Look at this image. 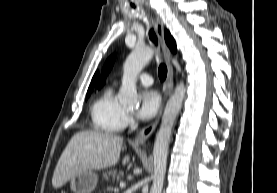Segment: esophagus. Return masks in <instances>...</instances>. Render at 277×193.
Returning a JSON list of instances; mask_svg holds the SVG:
<instances>
[{"mask_svg":"<svg viewBox=\"0 0 277 193\" xmlns=\"http://www.w3.org/2000/svg\"><path fill=\"white\" fill-rule=\"evenodd\" d=\"M155 29H156L157 35L160 39V42L162 45V50H163V55H164V58H165V61H166L167 67H168V78H167L166 85L164 87V95H163L162 105L157 114V117L153 123H151L150 125L146 126L144 129H142L140 131V133L136 136V138L134 140V144H136V145H144L146 143V141L148 140V138L151 136V134L156 129V127L160 121V118L162 116V112H163L165 103L173 89V82H172L173 68H172V64L170 61L171 51L169 50L168 46L166 45V42L164 39V26H163L162 20L159 17H155Z\"/></svg>","mask_w":277,"mask_h":193,"instance_id":"34e87169","label":"esophagus"}]
</instances>
